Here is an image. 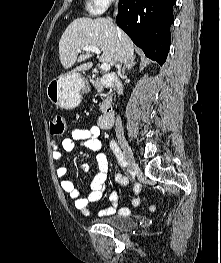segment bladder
Returning <instances> with one entry per match:
<instances>
[{
	"instance_id": "31cf9c89",
	"label": "bladder",
	"mask_w": 221,
	"mask_h": 263,
	"mask_svg": "<svg viewBox=\"0 0 221 263\" xmlns=\"http://www.w3.org/2000/svg\"><path fill=\"white\" fill-rule=\"evenodd\" d=\"M98 224L109 226L113 229L128 231L136 227L135 219L129 216L109 215L95 219Z\"/></svg>"
}]
</instances>
